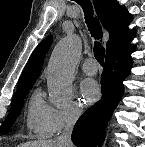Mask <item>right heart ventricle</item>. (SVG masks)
<instances>
[{
	"instance_id": "obj_1",
	"label": "right heart ventricle",
	"mask_w": 145,
	"mask_h": 147,
	"mask_svg": "<svg viewBox=\"0 0 145 147\" xmlns=\"http://www.w3.org/2000/svg\"><path fill=\"white\" fill-rule=\"evenodd\" d=\"M52 105L46 102L39 91H35L27 105L26 125L29 132L37 137H48L52 134L50 113Z\"/></svg>"
}]
</instances>
